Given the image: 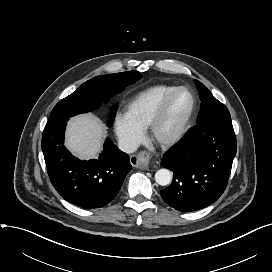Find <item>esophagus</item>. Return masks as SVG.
<instances>
[{"label": "esophagus", "instance_id": "1", "mask_svg": "<svg viewBox=\"0 0 272 272\" xmlns=\"http://www.w3.org/2000/svg\"><path fill=\"white\" fill-rule=\"evenodd\" d=\"M135 160L137 163V166L142 169H149L152 165V162L150 160V154L146 151H142L137 154L136 157H133L132 162L135 164Z\"/></svg>", "mask_w": 272, "mask_h": 272}]
</instances>
